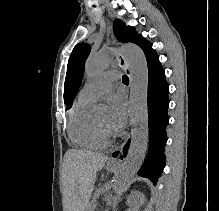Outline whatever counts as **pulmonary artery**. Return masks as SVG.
I'll list each match as a JSON object with an SVG mask.
<instances>
[{"instance_id":"obj_1","label":"pulmonary artery","mask_w":219,"mask_h":211,"mask_svg":"<svg viewBox=\"0 0 219 211\" xmlns=\"http://www.w3.org/2000/svg\"><path fill=\"white\" fill-rule=\"evenodd\" d=\"M116 72V69H111V71L96 75L80 90L78 98L92 103L96 102L100 96L112 89L113 81L118 79Z\"/></svg>"}]
</instances>
